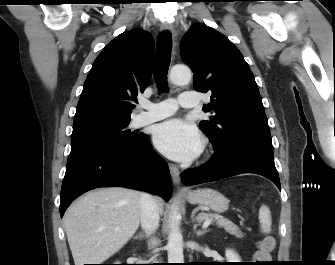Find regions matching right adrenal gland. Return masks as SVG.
<instances>
[{
	"mask_svg": "<svg viewBox=\"0 0 335 265\" xmlns=\"http://www.w3.org/2000/svg\"><path fill=\"white\" fill-rule=\"evenodd\" d=\"M148 237V235H144L143 233H140V234H138V235H136L135 237H134V239H143V238H147Z\"/></svg>",
	"mask_w": 335,
	"mask_h": 265,
	"instance_id": "2a0ac1e0",
	"label": "right adrenal gland"
}]
</instances>
